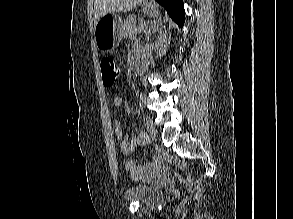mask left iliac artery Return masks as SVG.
<instances>
[{"mask_svg": "<svg viewBox=\"0 0 293 219\" xmlns=\"http://www.w3.org/2000/svg\"><path fill=\"white\" fill-rule=\"evenodd\" d=\"M140 99L142 100L143 103H145V97L142 93L140 94Z\"/></svg>", "mask_w": 293, "mask_h": 219, "instance_id": "obj_1", "label": "left iliac artery"}]
</instances>
